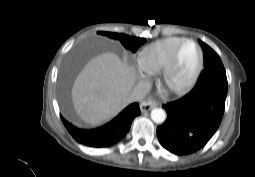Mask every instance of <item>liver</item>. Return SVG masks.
<instances>
[{
  "mask_svg": "<svg viewBox=\"0 0 255 177\" xmlns=\"http://www.w3.org/2000/svg\"><path fill=\"white\" fill-rule=\"evenodd\" d=\"M136 73L114 53L93 57L76 77L73 106L86 123L96 126L116 116L128 104Z\"/></svg>",
  "mask_w": 255,
  "mask_h": 177,
  "instance_id": "6515ba94",
  "label": "liver"
}]
</instances>
